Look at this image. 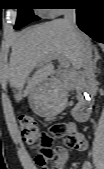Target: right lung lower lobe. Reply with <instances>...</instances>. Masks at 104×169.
Wrapping results in <instances>:
<instances>
[{
	"mask_svg": "<svg viewBox=\"0 0 104 169\" xmlns=\"http://www.w3.org/2000/svg\"><path fill=\"white\" fill-rule=\"evenodd\" d=\"M79 28L104 43V0H74Z\"/></svg>",
	"mask_w": 104,
	"mask_h": 169,
	"instance_id": "obj_1",
	"label": "right lung lower lobe"
}]
</instances>
